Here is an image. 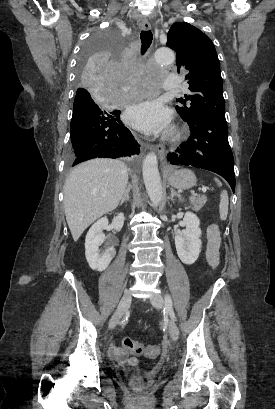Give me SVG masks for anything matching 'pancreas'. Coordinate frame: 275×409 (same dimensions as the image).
<instances>
[{"instance_id":"1","label":"pancreas","mask_w":275,"mask_h":409,"mask_svg":"<svg viewBox=\"0 0 275 409\" xmlns=\"http://www.w3.org/2000/svg\"><path fill=\"white\" fill-rule=\"evenodd\" d=\"M191 202H193L194 211H199L201 207H204L205 202H207V198L205 194H202V196H198V198H191Z\"/></svg>"}]
</instances>
